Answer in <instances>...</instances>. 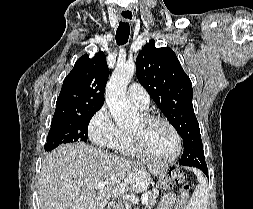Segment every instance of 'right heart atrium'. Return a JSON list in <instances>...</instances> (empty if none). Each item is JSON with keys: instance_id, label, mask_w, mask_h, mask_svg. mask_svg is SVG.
Wrapping results in <instances>:
<instances>
[{"instance_id": "obj_1", "label": "right heart atrium", "mask_w": 253, "mask_h": 209, "mask_svg": "<svg viewBox=\"0 0 253 209\" xmlns=\"http://www.w3.org/2000/svg\"><path fill=\"white\" fill-rule=\"evenodd\" d=\"M88 135L96 146L107 149H119L126 138V133L115 124L105 106L91 118Z\"/></svg>"}]
</instances>
